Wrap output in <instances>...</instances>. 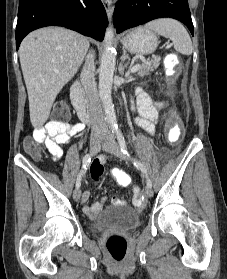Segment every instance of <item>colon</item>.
Wrapping results in <instances>:
<instances>
[{
    "instance_id": "colon-1",
    "label": "colon",
    "mask_w": 227,
    "mask_h": 279,
    "mask_svg": "<svg viewBox=\"0 0 227 279\" xmlns=\"http://www.w3.org/2000/svg\"><path fill=\"white\" fill-rule=\"evenodd\" d=\"M53 113L55 118L51 121V123L56 124L60 128L65 127L69 115V110L66 103L62 102L57 104L54 108ZM24 147L26 152L29 153L34 159H41L43 157L41 145L36 141H26ZM101 171L102 167L97 164L91 167L92 174H98ZM113 174L115 181L119 185L124 187L130 185L131 177L127 172L116 169ZM135 203L140 205L142 201L141 199H137L135 200ZM107 249L110 255L118 261L123 259L126 252V246L124 241L118 238L109 239L107 242Z\"/></svg>"
}]
</instances>
